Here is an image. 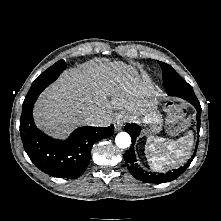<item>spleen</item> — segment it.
<instances>
[{"instance_id":"obj_1","label":"spleen","mask_w":221,"mask_h":221,"mask_svg":"<svg viewBox=\"0 0 221 221\" xmlns=\"http://www.w3.org/2000/svg\"><path fill=\"white\" fill-rule=\"evenodd\" d=\"M193 135L189 132L184 137L167 140L162 137H149L145 145V154L150 167L156 171L172 169L183 164L190 156Z\"/></svg>"}]
</instances>
